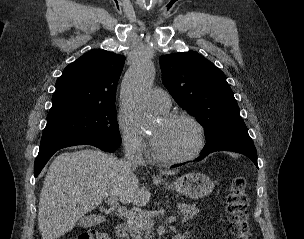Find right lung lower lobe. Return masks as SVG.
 Instances as JSON below:
<instances>
[{"mask_svg": "<svg viewBox=\"0 0 304 239\" xmlns=\"http://www.w3.org/2000/svg\"><path fill=\"white\" fill-rule=\"evenodd\" d=\"M82 144L93 145L106 152H114L118 148V146L113 145L109 142L87 137H63L41 140L39 153L34 164L35 177L39 175L47 161L56 151L65 147Z\"/></svg>", "mask_w": 304, "mask_h": 239, "instance_id": "right-lung-lower-lobe-1", "label": "right lung lower lobe"}]
</instances>
